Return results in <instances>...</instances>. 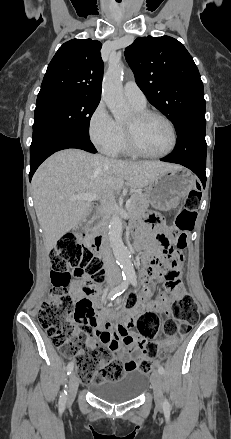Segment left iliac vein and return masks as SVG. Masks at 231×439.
<instances>
[{
  "instance_id": "obj_1",
  "label": "left iliac vein",
  "mask_w": 231,
  "mask_h": 439,
  "mask_svg": "<svg viewBox=\"0 0 231 439\" xmlns=\"http://www.w3.org/2000/svg\"><path fill=\"white\" fill-rule=\"evenodd\" d=\"M151 384L154 392L155 404L158 408H162L164 404V398L162 394V379L159 372H154L151 376Z\"/></svg>"
}]
</instances>
